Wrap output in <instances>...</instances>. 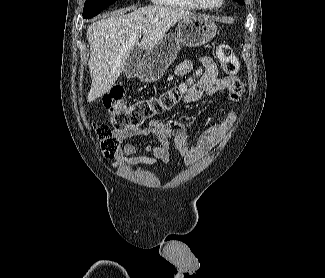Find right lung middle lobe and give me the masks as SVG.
<instances>
[{"label": "right lung middle lobe", "instance_id": "1", "mask_svg": "<svg viewBox=\"0 0 325 278\" xmlns=\"http://www.w3.org/2000/svg\"><path fill=\"white\" fill-rule=\"evenodd\" d=\"M115 1L116 0H86L83 10V17L90 19L99 14L102 10Z\"/></svg>", "mask_w": 325, "mask_h": 278}]
</instances>
